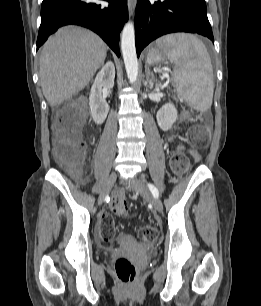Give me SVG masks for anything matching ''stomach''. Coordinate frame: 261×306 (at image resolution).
Instances as JSON below:
<instances>
[{"mask_svg": "<svg viewBox=\"0 0 261 306\" xmlns=\"http://www.w3.org/2000/svg\"><path fill=\"white\" fill-rule=\"evenodd\" d=\"M168 50L165 47L153 46L150 47L145 54L146 64L159 65L167 59Z\"/></svg>", "mask_w": 261, "mask_h": 306, "instance_id": "obj_1", "label": "stomach"}]
</instances>
